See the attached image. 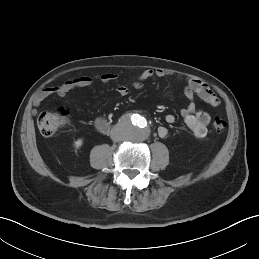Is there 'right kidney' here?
I'll list each match as a JSON object with an SVG mask.
<instances>
[{
	"instance_id": "obj_1",
	"label": "right kidney",
	"mask_w": 259,
	"mask_h": 259,
	"mask_svg": "<svg viewBox=\"0 0 259 259\" xmlns=\"http://www.w3.org/2000/svg\"><path fill=\"white\" fill-rule=\"evenodd\" d=\"M82 144H83V140H82V139H78V140H76V141L74 142L75 148L81 147Z\"/></svg>"
}]
</instances>
